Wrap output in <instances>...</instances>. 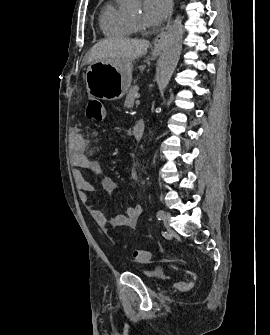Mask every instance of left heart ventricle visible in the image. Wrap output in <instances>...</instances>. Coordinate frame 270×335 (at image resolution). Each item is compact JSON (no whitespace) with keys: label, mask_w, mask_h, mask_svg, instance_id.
Masks as SVG:
<instances>
[{"label":"left heart ventricle","mask_w":270,"mask_h":335,"mask_svg":"<svg viewBox=\"0 0 270 335\" xmlns=\"http://www.w3.org/2000/svg\"><path fill=\"white\" fill-rule=\"evenodd\" d=\"M131 20L133 21L134 24H137L139 22V20H140V16L135 17V18H133Z\"/></svg>","instance_id":"1"}]
</instances>
